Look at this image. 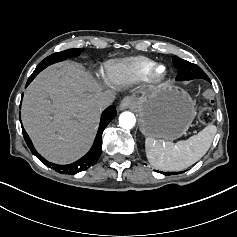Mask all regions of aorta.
<instances>
[{
  "mask_svg": "<svg viewBox=\"0 0 237 237\" xmlns=\"http://www.w3.org/2000/svg\"><path fill=\"white\" fill-rule=\"evenodd\" d=\"M136 118L131 112H123L119 116V125L123 129L129 130L135 126Z\"/></svg>",
  "mask_w": 237,
  "mask_h": 237,
  "instance_id": "obj_1",
  "label": "aorta"
}]
</instances>
